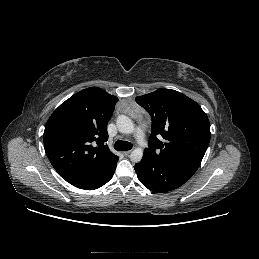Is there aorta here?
<instances>
[{"label": "aorta", "instance_id": "1", "mask_svg": "<svg viewBox=\"0 0 259 259\" xmlns=\"http://www.w3.org/2000/svg\"><path fill=\"white\" fill-rule=\"evenodd\" d=\"M116 125L119 132L121 133L131 134L134 132V124L128 116L119 115L116 120ZM142 157L143 149L140 147L135 148L130 154V159L134 163L140 162L142 160Z\"/></svg>", "mask_w": 259, "mask_h": 259}]
</instances>
